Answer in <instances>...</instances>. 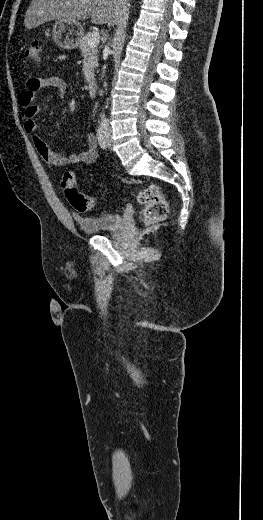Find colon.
I'll list each match as a JSON object with an SVG mask.
<instances>
[{
	"mask_svg": "<svg viewBox=\"0 0 263 520\" xmlns=\"http://www.w3.org/2000/svg\"><path fill=\"white\" fill-rule=\"evenodd\" d=\"M43 51L42 42L34 40L26 48L25 55L34 62H39ZM61 185L65 191L70 205L79 212H88L96 207V200L93 197L81 193L76 184L74 173L67 171L63 174ZM139 204L143 206V219L147 224L156 223L164 220L168 215V205L162 196L159 187L155 184H148L137 194Z\"/></svg>",
	"mask_w": 263,
	"mask_h": 520,
	"instance_id": "colon-1",
	"label": "colon"
}]
</instances>
